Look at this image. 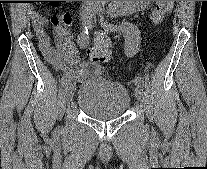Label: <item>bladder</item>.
I'll return each mask as SVG.
<instances>
[{"mask_svg": "<svg viewBox=\"0 0 207 169\" xmlns=\"http://www.w3.org/2000/svg\"><path fill=\"white\" fill-rule=\"evenodd\" d=\"M76 101L79 110L88 117L113 120L127 112L131 98L124 85L99 76L80 85Z\"/></svg>", "mask_w": 207, "mask_h": 169, "instance_id": "31cf9c89", "label": "bladder"}]
</instances>
